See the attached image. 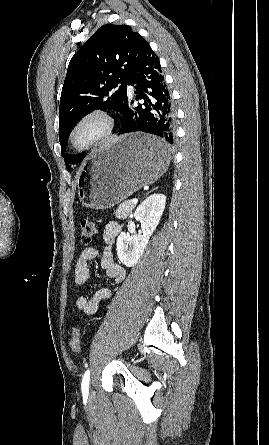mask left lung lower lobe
Masks as SVG:
<instances>
[{"label": "left lung lower lobe", "instance_id": "1", "mask_svg": "<svg viewBox=\"0 0 269 445\" xmlns=\"http://www.w3.org/2000/svg\"><path fill=\"white\" fill-rule=\"evenodd\" d=\"M161 72L160 61L148 46L128 81V85L136 89V99L144 102L134 105L127 96L122 113L125 124L119 132H145L158 136L156 142L144 147L151 155L171 154L175 141L176 113Z\"/></svg>", "mask_w": 269, "mask_h": 445}]
</instances>
